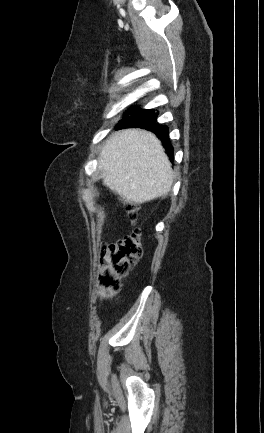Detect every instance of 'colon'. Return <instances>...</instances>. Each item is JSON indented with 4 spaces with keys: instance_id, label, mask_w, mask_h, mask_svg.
Masks as SVG:
<instances>
[{
    "instance_id": "5ec220e1",
    "label": "colon",
    "mask_w": 264,
    "mask_h": 433,
    "mask_svg": "<svg viewBox=\"0 0 264 433\" xmlns=\"http://www.w3.org/2000/svg\"><path fill=\"white\" fill-rule=\"evenodd\" d=\"M138 210L136 204L126 205L127 216L132 222L137 220ZM141 256V233L138 229L114 243L105 244L101 248L99 258L101 294L105 297L117 294L121 286V278L129 273Z\"/></svg>"
}]
</instances>
